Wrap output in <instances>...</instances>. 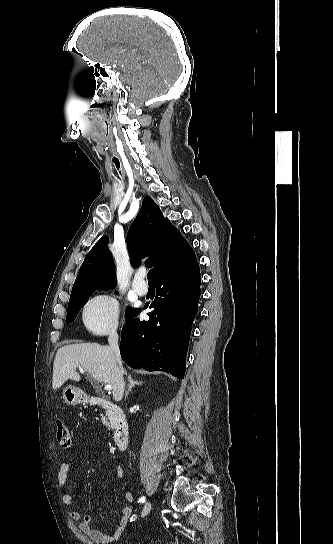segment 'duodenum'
I'll return each instance as SVG.
<instances>
[{
    "mask_svg": "<svg viewBox=\"0 0 333 544\" xmlns=\"http://www.w3.org/2000/svg\"><path fill=\"white\" fill-rule=\"evenodd\" d=\"M85 402L92 406L105 409L111 414L115 424L113 435L114 444L119 451L124 450L128 443L129 427L123 411L103 398L87 397Z\"/></svg>",
    "mask_w": 333,
    "mask_h": 544,
    "instance_id": "duodenum-1",
    "label": "duodenum"
}]
</instances>
